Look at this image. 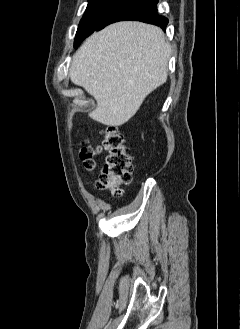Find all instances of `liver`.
I'll list each match as a JSON object with an SVG mask.
<instances>
[{"label": "liver", "mask_w": 240, "mask_h": 329, "mask_svg": "<svg viewBox=\"0 0 240 329\" xmlns=\"http://www.w3.org/2000/svg\"><path fill=\"white\" fill-rule=\"evenodd\" d=\"M171 47L163 31L140 22L114 23L93 33L75 53L71 81L97 102L90 117L121 126L168 76Z\"/></svg>", "instance_id": "liver-1"}]
</instances>
